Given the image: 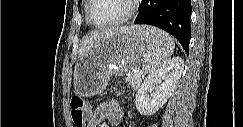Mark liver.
I'll return each instance as SVG.
<instances>
[{
  "mask_svg": "<svg viewBox=\"0 0 243 127\" xmlns=\"http://www.w3.org/2000/svg\"><path fill=\"white\" fill-rule=\"evenodd\" d=\"M136 26L132 27H121L117 29H111V30H101V31H94L88 36L84 37L83 41L81 42V48H80V55L83 56L89 52V50L92 48V46L100 39L105 38L106 36L113 35L114 33L118 31H124L129 30L132 28H135Z\"/></svg>",
  "mask_w": 243,
  "mask_h": 127,
  "instance_id": "liver-1",
  "label": "liver"
}]
</instances>
